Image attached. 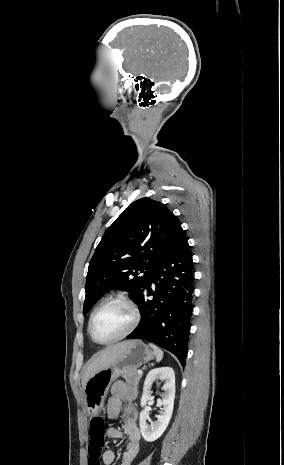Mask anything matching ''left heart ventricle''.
Listing matches in <instances>:
<instances>
[{
  "label": "left heart ventricle",
  "mask_w": 284,
  "mask_h": 465,
  "mask_svg": "<svg viewBox=\"0 0 284 465\" xmlns=\"http://www.w3.org/2000/svg\"><path fill=\"white\" fill-rule=\"evenodd\" d=\"M132 322V313L122 304L103 307L92 324L93 336L98 341H109L124 334Z\"/></svg>",
  "instance_id": "1"
}]
</instances>
